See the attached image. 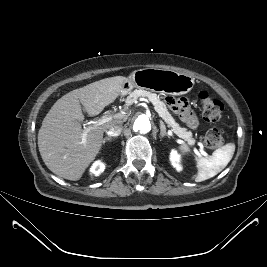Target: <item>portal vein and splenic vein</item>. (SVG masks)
<instances>
[{
  "label": "portal vein and splenic vein",
  "instance_id": "obj_1",
  "mask_svg": "<svg viewBox=\"0 0 267 267\" xmlns=\"http://www.w3.org/2000/svg\"><path fill=\"white\" fill-rule=\"evenodd\" d=\"M140 101H144V102L149 103V101L147 99H145V98H140ZM119 116H122V114L121 113H118V114H116L114 116H112V115H105L102 118H100L99 120L95 121L93 127L101 126V125H103V124L111 121L115 117H119ZM86 137H87V131H84V133L82 134V142L83 143L86 142Z\"/></svg>",
  "mask_w": 267,
  "mask_h": 267
}]
</instances>
